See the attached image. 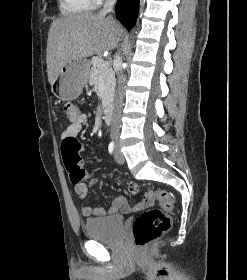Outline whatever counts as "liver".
<instances>
[{"instance_id":"6515ba94","label":"liver","mask_w":247,"mask_h":280,"mask_svg":"<svg viewBox=\"0 0 247 280\" xmlns=\"http://www.w3.org/2000/svg\"><path fill=\"white\" fill-rule=\"evenodd\" d=\"M122 35L121 25L105 15L79 14L52 22L47 39L48 81L56 80L63 66L115 48Z\"/></svg>"}]
</instances>
